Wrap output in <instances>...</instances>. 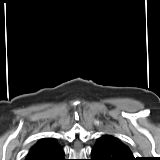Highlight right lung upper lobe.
Segmentation results:
<instances>
[{"mask_svg": "<svg viewBox=\"0 0 160 160\" xmlns=\"http://www.w3.org/2000/svg\"><path fill=\"white\" fill-rule=\"evenodd\" d=\"M58 147V143L52 138L41 139L33 147H31L29 153L27 154L26 160H35L36 158L43 156Z\"/></svg>", "mask_w": 160, "mask_h": 160, "instance_id": "1", "label": "right lung upper lobe"}]
</instances>
